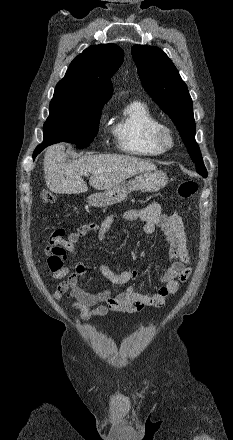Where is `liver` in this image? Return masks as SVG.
Returning <instances> with one entry per match:
<instances>
[{
    "label": "liver",
    "instance_id": "liver-1",
    "mask_svg": "<svg viewBox=\"0 0 233 440\" xmlns=\"http://www.w3.org/2000/svg\"><path fill=\"white\" fill-rule=\"evenodd\" d=\"M44 174L50 191L59 194L87 192L83 176L91 174L89 184L96 190L115 187L127 178L144 171L156 170L157 166L125 155H86L70 163L66 162L63 143L50 146L44 156Z\"/></svg>",
    "mask_w": 233,
    "mask_h": 440
}]
</instances>
